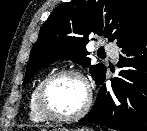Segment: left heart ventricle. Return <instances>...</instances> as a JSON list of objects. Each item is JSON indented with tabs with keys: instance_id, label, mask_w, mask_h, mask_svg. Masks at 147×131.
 Returning <instances> with one entry per match:
<instances>
[{
	"instance_id": "left-heart-ventricle-1",
	"label": "left heart ventricle",
	"mask_w": 147,
	"mask_h": 131,
	"mask_svg": "<svg viewBox=\"0 0 147 131\" xmlns=\"http://www.w3.org/2000/svg\"><path fill=\"white\" fill-rule=\"evenodd\" d=\"M88 93L84 83L76 77H64L54 82L48 90L47 100L58 114L72 115L80 111Z\"/></svg>"
}]
</instances>
